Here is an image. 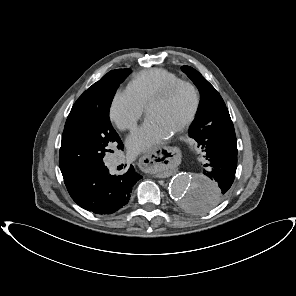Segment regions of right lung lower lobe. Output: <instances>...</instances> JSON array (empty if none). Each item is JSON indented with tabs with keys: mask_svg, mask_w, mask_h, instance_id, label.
Listing matches in <instances>:
<instances>
[{
	"mask_svg": "<svg viewBox=\"0 0 296 296\" xmlns=\"http://www.w3.org/2000/svg\"><path fill=\"white\" fill-rule=\"evenodd\" d=\"M142 176L130 166L123 175H111L104 162L64 178L76 204L95 214H112L129 202L133 185Z\"/></svg>",
	"mask_w": 296,
	"mask_h": 296,
	"instance_id": "98d812e1",
	"label": "right lung lower lobe"
}]
</instances>
